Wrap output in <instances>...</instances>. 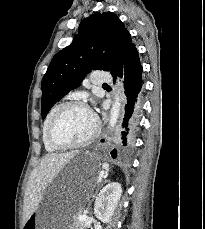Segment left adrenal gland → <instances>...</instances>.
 Masks as SVG:
<instances>
[{"instance_id":"a2214340","label":"left adrenal gland","mask_w":205,"mask_h":229,"mask_svg":"<svg viewBox=\"0 0 205 229\" xmlns=\"http://www.w3.org/2000/svg\"><path fill=\"white\" fill-rule=\"evenodd\" d=\"M106 182H108V180H104L102 183H101V186L104 184V183H106ZM96 193H97V191H96ZM96 193H95V195H96ZM95 195H93V198L95 197Z\"/></svg>"}]
</instances>
